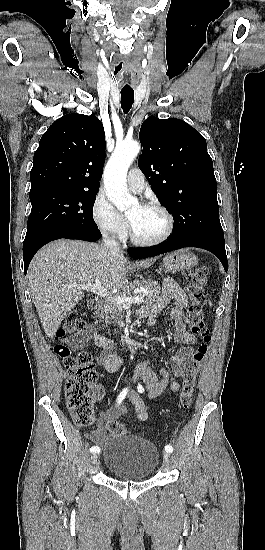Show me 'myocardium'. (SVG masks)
Masks as SVG:
<instances>
[{
  "instance_id": "obj_1",
  "label": "myocardium",
  "mask_w": 265,
  "mask_h": 550,
  "mask_svg": "<svg viewBox=\"0 0 265 550\" xmlns=\"http://www.w3.org/2000/svg\"><path fill=\"white\" fill-rule=\"evenodd\" d=\"M140 206L143 207V208H146V209H155V210H158L159 212H161L166 218V222H167L166 230L158 238L151 239V240L140 239L134 233L132 224H131L129 218H127L128 233H129V237H130V240L132 241V243L137 245V246L150 247V246H155V245H158V244H161V243L165 242L171 236V234L173 233V230H174V217H173V215L170 213V211L167 208H165L163 205H161L160 203L155 202V201L143 202V203L140 204Z\"/></svg>"
}]
</instances>
